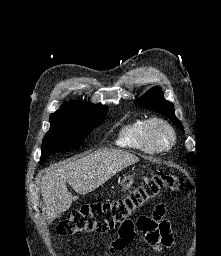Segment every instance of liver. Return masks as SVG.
Returning <instances> with one entry per match:
<instances>
[{
	"label": "liver",
	"instance_id": "6515ba94",
	"mask_svg": "<svg viewBox=\"0 0 221 256\" xmlns=\"http://www.w3.org/2000/svg\"><path fill=\"white\" fill-rule=\"evenodd\" d=\"M138 161V157L128 152L102 149L79 159L51 166L45 171L41 182L47 217L55 218L67 211L78 198L68 191L67 183L75 192L85 195Z\"/></svg>",
	"mask_w": 221,
	"mask_h": 256
}]
</instances>
